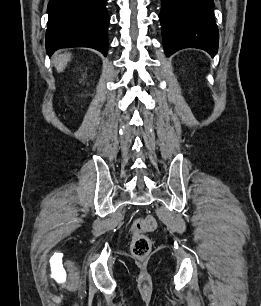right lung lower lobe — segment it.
<instances>
[{
    "label": "right lung lower lobe",
    "instance_id": "right-lung-lower-lobe-1",
    "mask_svg": "<svg viewBox=\"0 0 261 306\" xmlns=\"http://www.w3.org/2000/svg\"><path fill=\"white\" fill-rule=\"evenodd\" d=\"M107 0H50L46 50L49 55L60 48L89 47L106 56L110 18Z\"/></svg>",
    "mask_w": 261,
    "mask_h": 306
}]
</instances>
